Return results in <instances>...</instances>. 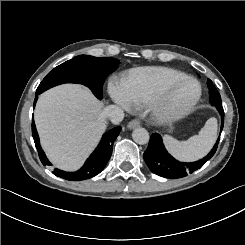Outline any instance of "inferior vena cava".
<instances>
[{
    "label": "inferior vena cava",
    "mask_w": 245,
    "mask_h": 245,
    "mask_svg": "<svg viewBox=\"0 0 245 245\" xmlns=\"http://www.w3.org/2000/svg\"><path fill=\"white\" fill-rule=\"evenodd\" d=\"M103 117L109 118L113 124H119L124 118V112L116 105H109L104 108Z\"/></svg>",
    "instance_id": "1"
}]
</instances>
